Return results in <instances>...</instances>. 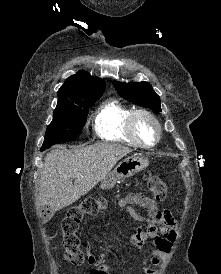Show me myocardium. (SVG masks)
<instances>
[{"instance_id": "myocardium-1", "label": "myocardium", "mask_w": 221, "mask_h": 274, "mask_svg": "<svg viewBox=\"0 0 221 274\" xmlns=\"http://www.w3.org/2000/svg\"><path fill=\"white\" fill-rule=\"evenodd\" d=\"M140 117H145L154 124L156 130V139L153 143L148 144L140 139L137 133V120ZM128 131L131 137L134 139V141L138 144V146L143 148H152L156 146L159 143L162 136V130L159 120L153 113L146 109H135L132 111L128 119Z\"/></svg>"}]
</instances>
